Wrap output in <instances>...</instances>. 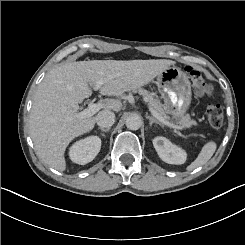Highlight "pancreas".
Here are the masks:
<instances>
[{
    "mask_svg": "<svg viewBox=\"0 0 245 245\" xmlns=\"http://www.w3.org/2000/svg\"><path fill=\"white\" fill-rule=\"evenodd\" d=\"M133 91L140 94L144 101L148 102L161 116V121L179 128H188L191 124H196L190 120L188 115L179 113L176 109L164 105L160 98L156 97L155 93L150 92L142 87H136ZM172 114L173 116H170Z\"/></svg>",
    "mask_w": 245,
    "mask_h": 245,
    "instance_id": "obj_1",
    "label": "pancreas"
}]
</instances>
